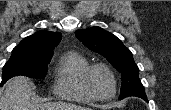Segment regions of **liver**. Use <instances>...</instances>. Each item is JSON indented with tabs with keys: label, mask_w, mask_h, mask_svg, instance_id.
Segmentation results:
<instances>
[{
	"label": "liver",
	"mask_w": 171,
	"mask_h": 110,
	"mask_svg": "<svg viewBox=\"0 0 171 110\" xmlns=\"http://www.w3.org/2000/svg\"><path fill=\"white\" fill-rule=\"evenodd\" d=\"M34 86L25 76H16L7 82L0 101V110H86V108L65 102L32 103L30 98Z\"/></svg>",
	"instance_id": "obj_1"
}]
</instances>
